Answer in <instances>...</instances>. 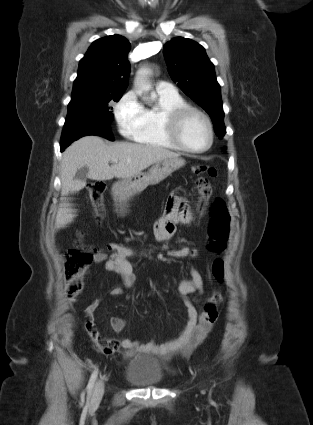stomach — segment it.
Wrapping results in <instances>:
<instances>
[{"instance_id":"0dacf381","label":"stomach","mask_w":313,"mask_h":425,"mask_svg":"<svg viewBox=\"0 0 313 425\" xmlns=\"http://www.w3.org/2000/svg\"><path fill=\"white\" fill-rule=\"evenodd\" d=\"M185 165L182 158H167L155 163L147 173H138L124 178L113 185L117 200L127 201L135 194L145 190L149 185H156L166 179L174 171Z\"/></svg>"}]
</instances>
